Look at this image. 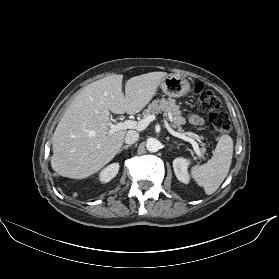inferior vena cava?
<instances>
[{
  "instance_id": "602c4592",
  "label": "inferior vena cava",
  "mask_w": 279,
  "mask_h": 279,
  "mask_svg": "<svg viewBox=\"0 0 279 279\" xmlns=\"http://www.w3.org/2000/svg\"><path fill=\"white\" fill-rule=\"evenodd\" d=\"M139 139V133L134 130H129L125 136L126 144H134Z\"/></svg>"
}]
</instances>
